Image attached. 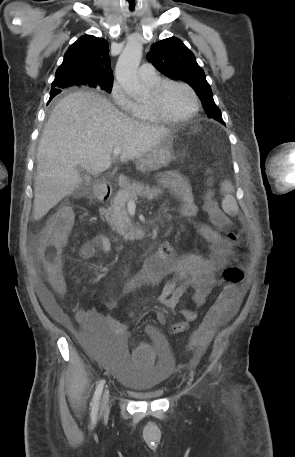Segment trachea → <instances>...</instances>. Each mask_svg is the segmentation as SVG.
I'll return each mask as SVG.
<instances>
[{"label":"trachea","instance_id":"3493384b","mask_svg":"<svg viewBox=\"0 0 295 457\" xmlns=\"http://www.w3.org/2000/svg\"><path fill=\"white\" fill-rule=\"evenodd\" d=\"M134 9V5H130V10H133Z\"/></svg>","mask_w":295,"mask_h":457}]
</instances>
